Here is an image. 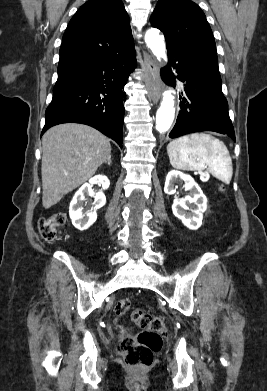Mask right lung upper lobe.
<instances>
[{
    "label": "right lung upper lobe",
    "instance_id": "1",
    "mask_svg": "<svg viewBox=\"0 0 267 391\" xmlns=\"http://www.w3.org/2000/svg\"><path fill=\"white\" fill-rule=\"evenodd\" d=\"M134 48L121 0H89L70 20L60 48L58 76Z\"/></svg>",
    "mask_w": 267,
    "mask_h": 391
}]
</instances>
